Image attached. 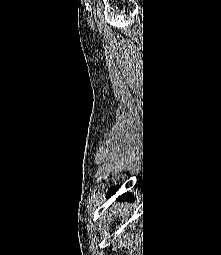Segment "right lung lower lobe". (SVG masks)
I'll list each match as a JSON object with an SVG mask.
<instances>
[{
    "instance_id": "98d812e1",
    "label": "right lung lower lobe",
    "mask_w": 221,
    "mask_h": 255,
    "mask_svg": "<svg viewBox=\"0 0 221 255\" xmlns=\"http://www.w3.org/2000/svg\"><path fill=\"white\" fill-rule=\"evenodd\" d=\"M117 191V187H112L109 191H108V197H110L111 195H113L115 192ZM120 200H129V201H133L135 199V197L133 196V194L131 193H125L123 195H121L119 197Z\"/></svg>"
}]
</instances>
